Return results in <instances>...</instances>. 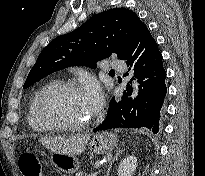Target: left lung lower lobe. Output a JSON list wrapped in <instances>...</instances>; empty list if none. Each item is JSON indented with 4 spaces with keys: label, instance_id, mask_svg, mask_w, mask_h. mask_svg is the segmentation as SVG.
Masks as SVG:
<instances>
[{
    "label": "left lung lower lobe",
    "instance_id": "obj_1",
    "mask_svg": "<svg viewBox=\"0 0 205 176\" xmlns=\"http://www.w3.org/2000/svg\"><path fill=\"white\" fill-rule=\"evenodd\" d=\"M121 60L126 61L129 70H134V76L140 84L138 96L134 100L130 98L133 89L127 85L119 102L112 98L105 121L94 132L111 128L146 127L158 133L167 91L166 71L162 65V54L146 25L138 30Z\"/></svg>",
    "mask_w": 205,
    "mask_h": 176
}]
</instances>
